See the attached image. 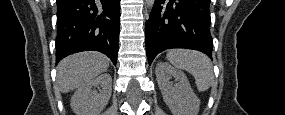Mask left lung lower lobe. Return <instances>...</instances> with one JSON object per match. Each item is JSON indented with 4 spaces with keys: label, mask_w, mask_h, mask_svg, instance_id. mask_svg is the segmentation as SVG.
I'll list each match as a JSON object with an SVG mask.
<instances>
[{
    "label": "left lung lower lobe",
    "mask_w": 285,
    "mask_h": 115,
    "mask_svg": "<svg viewBox=\"0 0 285 115\" xmlns=\"http://www.w3.org/2000/svg\"><path fill=\"white\" fill-rule=\"evenodd\" d=\"M210 0H156L145 27L149 65L158 53L188 48L212 54Z\"/></svg>",
    "instance_id": "left-lung-lower-lobe-1"
}]
</instances>
